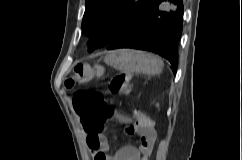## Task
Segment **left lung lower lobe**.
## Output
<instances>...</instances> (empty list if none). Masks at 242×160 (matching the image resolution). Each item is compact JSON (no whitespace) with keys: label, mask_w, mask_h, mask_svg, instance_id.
<instances>
[{"label":"left lung lower lobe","mask_w":242,"mask_h":160,"mask_svg":"<svg viewBox=\"0 0 242 160\" xmlns=\"http://www.w3.org/2000/svg\"><path fill=\"white\" fill-rule=\"evenodd\" d=\"M182 15V0H150L132 25L107 45V50L134 48L151 51L166 58L176 73Z\"/></svg>","instance_id":"0a47b994"}]
</instances>
